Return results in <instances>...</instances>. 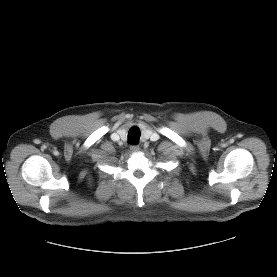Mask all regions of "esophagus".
Here are the masks:
<instances>
[{
	"instance_id": "34e87169",
	"label": "esophagus",
	"mask_w": 277,
	"mask_h": 277,
	"mask_svg": "<svg viewBox=\"0 0 277 277\" xmlns=\"http://www.w3.org/2000/svg\"><path fill=\"white\" fill-rule=\"evenodd\" d=\"M130 150H131V152L136 153L140 150V147L138 145H131Z\"/></svg>"
}]
</instances>
